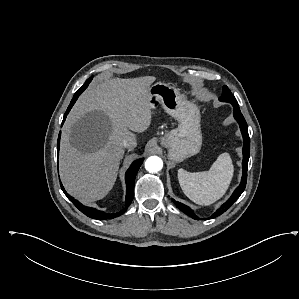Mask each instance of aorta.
<instances>
[{
  "label": "aorta",
  "instance_id": "aorta-1",
  "mask_svg": "<svg viewBox=\"0 0 299 299\" xmlns=\"http://www.w3.org/2000/svg\"><path fill=\"white\" fill-rule=\"evenodd\" d=\"M163 167V161L158 156H150L145 161V169L150 173H157L159 172Z\"/></svg>",
  "mask_w": 299,
  "mask_h": 299
}]
</instances>
